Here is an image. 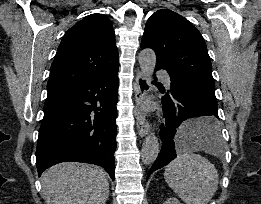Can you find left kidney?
Returning <instances> with one entry per match:
<instances>
[{
    "mask_svg": "<svg viewBox=\"0 0 261 204\" xmlns=\"http://www.w3.org/2000/svg\"><path fill=\"white\" fill-rule=\"evenodd\" d=\"M163 204H181V203L176 198L170 197Z\"/></svg>",
    "mask_w": 261,
    "mask_h": 204,
    "instance_id": "left-kidney-1",
    "label": "left kidney"
}]
</instances>
